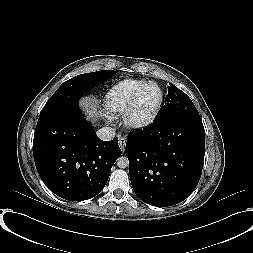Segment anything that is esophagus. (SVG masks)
I'll use <instances>...</instances> for the list:
<instances>
[{
  "mask_svg": "<svg viewBox=\"0 0 253 253\" xmlns=\"http://www.w3.org/2000/svg\"><path fill=\"white\" fill-rule=\"evenodd\" d=\"M126 146V138L123 136H119V147L124 152Z\"/></svg>",
  "mask_w": 253,
  "mask_h": 253,
  "instance_id": "1",
  "label": "esophagus"
}]
</instances>
